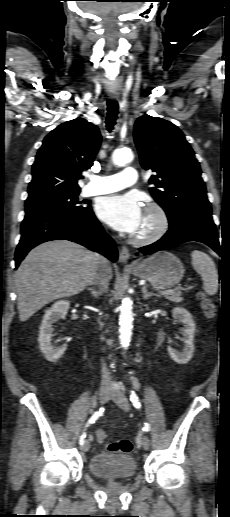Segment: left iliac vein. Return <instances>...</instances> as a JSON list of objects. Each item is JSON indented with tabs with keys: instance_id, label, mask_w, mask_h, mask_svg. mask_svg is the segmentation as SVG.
Instances as JSON below:
<instances>
[{
	"instance_id": "4c4485c4",
	"label": "left iliac vein",
	"mask_w": 230,
	"mask_h": 517,
	"mask_svg": "<svg viewBox=\"0 0 230 517\" xmlns=\"http://www.w3.org/2000/svg\"><path fill=\"white\" fill-rule=\"evenodd\" d=\"M111 398L113 401L124 411L130 410V404L127 397L118 389H114L111 392ZM138 444L144 450H148L150 447V440L146 435H142L138 438Z\"/></svg>"
}]
</instances>
